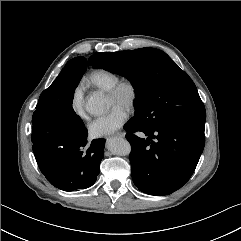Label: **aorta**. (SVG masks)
<instances>
[{"label":"aorta","instance_id":"762f6f07","mask_svg":"<svg viewBox=\"0 0 241 241\" xmlns=\"http://www.w3.org/2000/svg\"><path fill=\"white\" fill-rule=\"evenodd\" d=\"M86 110L92 115H102L107 112L108 104L105 96L100 92L92 93L86 101ZM108 150L114 155L126 156L131 152L130 143L124 138H112L107 142Z\"/></svg>","mask_w":241,"mask_h":241}]
</instances>
